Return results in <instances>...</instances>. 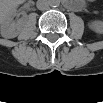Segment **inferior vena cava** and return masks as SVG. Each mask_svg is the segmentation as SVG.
I'll list each match as a JSON object with an SVG mask.
<instances>
[{
	"mask_svg": "<svg viewBox=\"0 0 103 103\" xmlns=\"http://www.w3.org/2000/svg\"><path fill=\"white\" fill-rule=\"evenodd\" d=\"M36 6L39 10H47L49 8V2L46 0H38Z\"/></svg>",
	"mask_w": 103,
	"mask_h": 103,
	"instance_id": "obj_1",
	"label": "inferior vena cava"
}]
</instances>
